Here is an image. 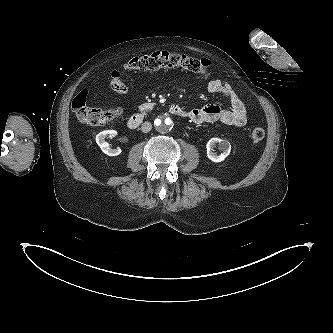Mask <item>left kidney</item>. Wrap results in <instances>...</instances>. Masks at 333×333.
<instances>
[{
  "instance_id": "5707ae66",
  "label": "left kidney",
  "mask_w": 333,
  "mask_h": 333,
  "mask_svg": "<svg viewBox=\"0 0 333 333\" xmlns=\"http://www.w3.org/2000/svg\"><path fill=\"white\" fill-rule=\"evenodd\" d=\"M218 144L219 149L222 151L220 155H217L215 152H213V148ZM207 157L215 162L219 163L225 160V158L230 154L231 152V145L227 140H222L219 138H211L207 144Z\"/></svg>"
}]
</instances>
